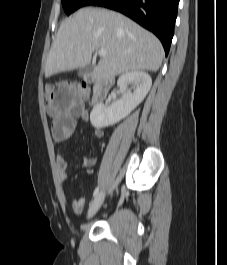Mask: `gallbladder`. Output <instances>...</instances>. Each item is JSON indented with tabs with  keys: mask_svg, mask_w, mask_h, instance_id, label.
<instances>
[{
	"mask_svg": "<svg viewBox=\"0 0 227 265\" xmlns=\"http://www.w3.org/2000/svg\"><path fill=\"white\" fill-rule=\"evenodd\" d=\"M91 70H92V66L91 65H86L85 67H83V68H81L79 70V74L80 75H86V74L90 73Z\"/></svg>",
	"mask_w": 227,
	"mask_h": 265,
	"instance_id": "bac80fb5",
	"label": "gallbladder"
}]
</instances>
